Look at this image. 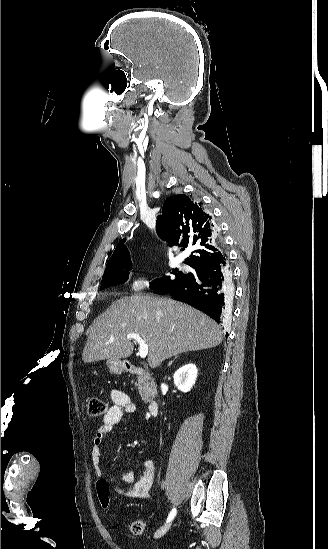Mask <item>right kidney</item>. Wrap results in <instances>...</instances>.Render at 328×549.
Here are the masks:
<instances>
[{
	"label": "right kidney",
	"instance_id": "1",
	"mask_svg": "<svg viewBox=\"0 0 328 549\" xmlns=\"http://www.w3.org/2000/svg\"><path fill=\"white\" fill-rule=\"evenodd\" d=\"M173 379L174 385L177 389H179V391H182V393H188V391H191L193 385H195V381L197 379L196 365H193V363H188V365L180 367V369L174 373Z\"/></svg>",
	"mask_w": 328,
	"mask_h": 549
}]
</instances>
